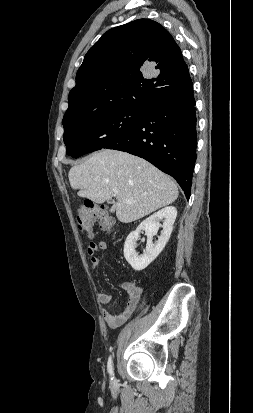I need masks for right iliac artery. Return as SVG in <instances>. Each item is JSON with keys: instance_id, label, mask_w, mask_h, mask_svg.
<instances>
[{"instance_id": "obj_1", "label": "right iliac artery", "mask_w": 253, "mask_h": 413, "mask_svg": "<svg viewBox=\"0 0 253 413\" xmlns=\"http://www.w3.org/2000/svg\"><path fill=\"white\" fill-rule=\"evenodd\" d=\"M107 368H108V372L111 376V379H113L114 373H113V363H112V357L111 356L108 359Z\"/></svg>"}]
</instances>
